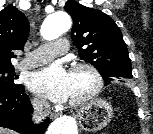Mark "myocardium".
I'll list each match as a JSON object with an SVG mask.
<instances>
[{"label":"myocardium","instance_id":"myocardium-1","mask_svg":"<svg viewBox=\"0 0 153 134\" xmlns=\"http://www.w3.org/2000/svg\"><path fill=\"white\" fill-rule=\"evenodd\" d=\"M77 70H86L87 72H89L93 80V85L92 88L85 95L77 99L69 100V103L73 106L82 105L90 99H92L93 97H95L102 89L104 83L102 74L100 73L98 68L90 62L80 61L74 63L71 66L70 71L74 72Z\"/></svg>","mask_w":153,"mask_h":134}]
</instances>
